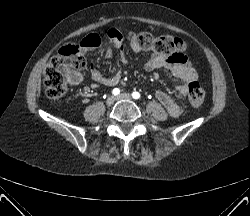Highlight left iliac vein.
Returning <instances> with one entry per match:
<instances>
[{
    "mask_svg": "<svg viewBox=\"0 0 250 216\" xmlns=\"http://www.w3.org/2000/svg\"><path fill=\"white\" fill-rule=\"evenodd\" d=\"M117 100H131L132 97L129 93H122L116 97Z\"/></svg>",
    "mask_w": 250,
    "mask_h": 216,
    "instance_id": "4c4485c4",
    "label": "left iliac vein"
}]
</instances>
